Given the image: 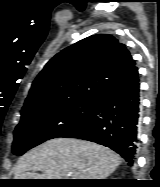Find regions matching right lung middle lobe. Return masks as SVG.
Listing matches in <instances>:
<instances>
[{
    "instance_id": "dd1d6c3e",
    "label": "right lung middle lobe",
    "mask_w": 160,
    "mask_h": 187,
    "mask_svg": "<svg viewBox=\"0 0 160 187\" xmlns=\"http://www.w3.org/2000/svg\"><path fill=\"white\" fill-rule=\"evenodd\" d=\"M97 103L98 98H80L21 112V121L14 131L13 153L20 156L75 130L93 114Z\"/></svg>"
}]
</instances>
